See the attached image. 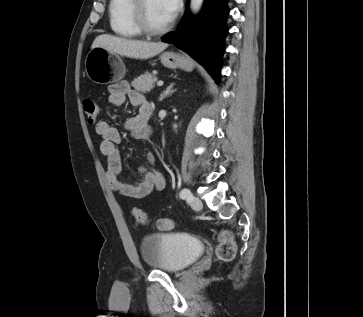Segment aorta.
Listing matches in <instances>:
<instances>
[{"label": "aorta", "mask_w": 363, "mask_h": 317, "mask_svg": "<svg viewBox=\"0 0 363 317\" xmlns=\"http://www.w3.org/2000/svg\"><path fill=\"white\" fill-rule=\"evenodd\" d=\"M204 0H190V8L193 14H197L203 5Z\"/></svg>", "instance_id": "1"}]
</instances>
